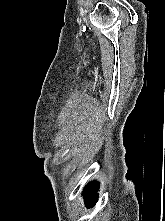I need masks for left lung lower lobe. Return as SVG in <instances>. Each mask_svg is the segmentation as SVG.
I'll use <instances>...</instances> for the list:
<instances>
[{
  "mask_svg": "<svg viewBox=\"0 0 165 221\" xmlns=\"http://www.w3.org/2000/svg\"><path fill=\"white\" fill-rule=\"evenodd\" d=\"M98 183L93 182L91 186L89 185L85 188L83 195L85 197V204L87 207H92L95 205L97 201L98 194L96 193V189L98 188Z\"/></svg>",
  "mask_w": 165,
  "mask_h": 221,
  "instance_id": "obj_1",
  "label": "left lung lower lobe"
}]
</instances>
